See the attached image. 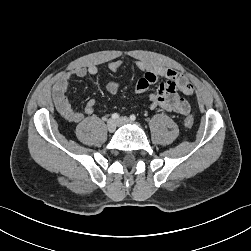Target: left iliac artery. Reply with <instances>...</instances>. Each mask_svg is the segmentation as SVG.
<instances>
[{"instance_id": "obj_1", "label": "left iliac artery", "mask_w": 251, "mask_h": 251, "mask_svg": "<svg viewBox=\"0 0 251 251\" xmlns=\"http://www.w3.org/2000/svg\"><path fill=\"white\" fill-rule=\"evenodd\" d=\"M130 120H131V121H135V120H136V116H135V115H133V114H132V115H130Z\"/></svg>"}]
</instances>
